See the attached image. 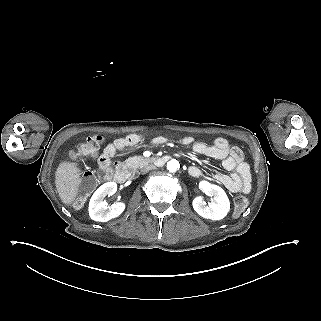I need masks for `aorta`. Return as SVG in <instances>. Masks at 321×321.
<instances>
[{
  "mask_svg": "<svg viewBox=\"0 0 321 321\" xmlns=\"http://www.w3.org/2000/svg\"><path fill=\"white\" fill-rule=\"evenodd\" d=\"M180 168V164L177 160L172 159L167 163V170H169V172H175Z\"/></svg>",
  "mask_w": 321,
  "mask_h": 321,
  "instance_id": "obj_1",
  "label": "aorta"
}]
</instances>
